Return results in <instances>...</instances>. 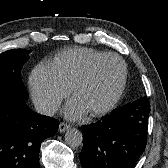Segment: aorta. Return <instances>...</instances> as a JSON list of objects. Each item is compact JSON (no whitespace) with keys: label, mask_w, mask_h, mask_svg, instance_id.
<instances>
[{"label":"aorta","mask_w":168,"mask_h":168,"mask_svg":"<svg viewBox=\"0 0 168 168\" xmlns=\"http://www.w3.org/2000/svg\"><path fill=\"white\" fill-rule=\"evenodd\" d=\"M65 142L71 148H76L82 144V132L76 128H70L66 131L64 136Z\"/></svg>","instance_id":"1"}]
</instances>
